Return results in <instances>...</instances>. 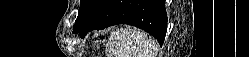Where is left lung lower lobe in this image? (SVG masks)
Segmentation results:
<instances>
[{
    "instance_id": "left-lung-lower-lobe-1",
    "label": "left lung lower lobe",
    "mask_w": 249,
    "mask_h": 57,
    "mask_svg": "<svg viewBox=\"0 0 249 57\" xmlns=\"http://www.w3.org/2000/svg\"><path fill=\"white\" fill-rule=\"evenodd\" d=\"M115 24H129L145 30L163 44L167 29L165 0H107L88 21L74 31L86 32Z\"/></svg>"
}]
</instances>
